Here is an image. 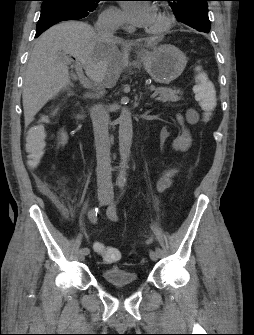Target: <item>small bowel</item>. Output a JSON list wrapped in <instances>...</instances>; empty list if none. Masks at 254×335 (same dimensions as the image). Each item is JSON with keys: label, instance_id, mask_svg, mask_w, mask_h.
<instances>
[{"label": "small bowel", "instance_id": "c3829d8e", "mask_svg": "<svg viewBox=\"0 0 254 335\" xmlns=\"http://www.w3.org/2000/svg\"><path fill=\"white\" fill-rule=\"evenodd\" d=\"M40 141H42V140H40ZM174 173H175L174 170H170V171H167V172H165L161 175V177L157 181V188H158L159 191H163V190H165V189H167L171 186L172 177H173ZM102 247H104L102 243L96 242L94 244V248L98 253H99L98 250Z\"/></svg>", "mask_w": 254, "mask_h": 335}]
</instances>
